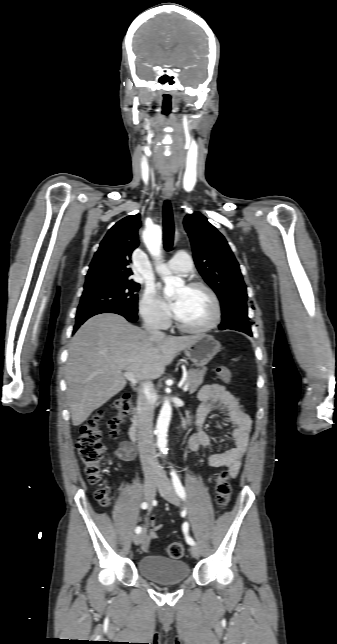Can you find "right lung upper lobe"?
<instances>
[{
  "mask_svg": "<svg viewBox=\"0 0 337 644\" xmlns=\"http://www.w3.org/2000/svg\"><path fill=\"white\" fill-rule=\"evenodd\" d=\"M140 214L117 222L106 234L90 264L86 282L98 279L130 280L131 254L139 245Z\"/></svg>",
  "mask_w": 337,
  "mask_h": 644,
  "instance_id": "cb5924a9",
  "label": "right lung upper lobe"
}]
</instances>
